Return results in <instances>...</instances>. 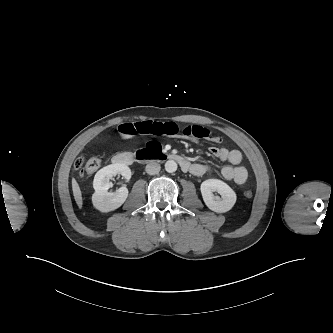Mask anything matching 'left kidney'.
Segmentation results:
<instances>
[{"instance_id": "left-kidney-1", "label": "left kidney", "mask_w": 333, "mask_h": 333, "mask_svg": "<svg viewBox=\"0 0 333 333\" xmlns=\"http://www.w3.org/2000/svg\"><path fill=\"white\" fill-rule=\"evenodd\" d=\"M200 190L205 205L216 213L229 211L236 202V193L229 185L221 180H205L202 182ZM213 192H218L221 197L215 196Z\"/></svg>"}]
</instances>
